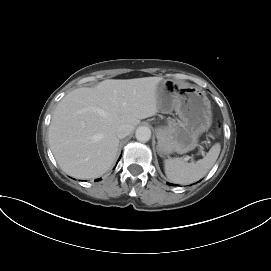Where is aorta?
<instances>
[{
  "label": "aorta",
  "instance_id": "aorta-1",
  "mask_svg": "<svg viewBox=\"0 0 271 271\" xmlns=\"http://www.w3.org/2000/svg\"><path fill=\"white\" fill-rule=\"evenodd\" d=\"M135 137L140 142H147L151 138V130L146 126H141L137 128Z\"/></svg>",
  "mask_w": 271,
  "mask_h": 271
}]
</instances>
